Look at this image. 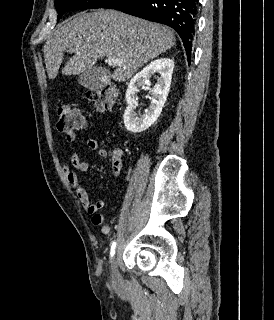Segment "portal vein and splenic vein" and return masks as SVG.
I'll return each mask as SVG.
<instances>
[{
    "instance_id": "1",
    "label": "portal vein and splenic vein",
    "mask_w": 274,
    "mask_h": 320,
    "mask_svg": "<svg viewBox=\"0 0 274 320\" xmlns=\"http://www.w3.org/2000/svg\"><path fill=\"white\" fill-rule=\"evenodd\" d=\"M108 66H121L122 62L116 60V58H107L106 60Z\"/></svg>"
}]
</instances>
